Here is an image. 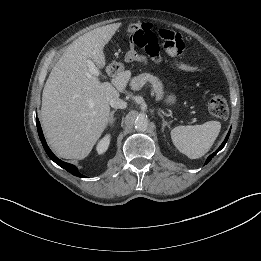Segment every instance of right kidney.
I'll use <instances>...</instances> for the list:
<instances>
[{
  "label": "right kidney",
  "instance_id": "1",
  "mask_svg": "<svg viewBox=\"0 0 261 261\" xmlns=\"http://www.w3.org/2000/svg\"><path fill=\"white\" fill-rule=\"evenodd\" d=\"M110 144V135H106L101 139L96 147L98 154H103L107 151Z\"/></svg>",
  "mask_w": 261,
  "mask_h": 261
}]
</instances>
